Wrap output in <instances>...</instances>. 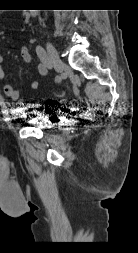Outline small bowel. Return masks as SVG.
Returning a JSON list of instances; mask_svg holds the SVG:
<instances>
[{"mask_svg":"<svg viewBox=\"0 0 138 253\" xmlns=\"http://www.w3.org/2000/svg\"><path fill=\"white\" fill-rule=\"evenodd\" d=\"M21 57L25 63H30L32 61V55H31L29 49L26 47L22 48ZM2 61H3V58L0 55V81L4 80V78H5V74L2 69ZM36 71L40 76H46L48 73V68L44 64H38L36 66ZM30 87H31V89H34V90L38 89L39 82L37 80H33L30 83ZM3 90H4L5 95L7 97H9L11 100L18 101V102H20V104L26 103V99H22L20 92L11 84H5Z\"/></svg>","mask_w":138,"mask_h":253,"instance_id":"small-bowel-1","label":"small bowel"}]
</instances>
